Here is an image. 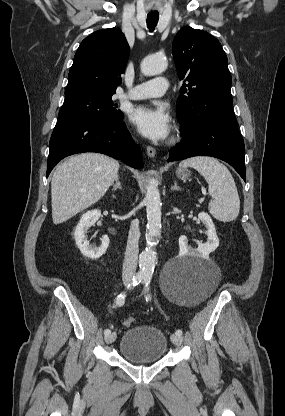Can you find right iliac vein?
<instances>
[{"instance_id":"63e3f726","label":"right iliac vein","mask_w":285,"mask_h":416,"mask_svg":"<svg viewBox=\"0 0 285 416\" xmlns=\"http://www.w3.org/2000/svg\"><path fill=\"white\" fill-rule=\"evenodd\" d=\"M123 282L126 285L129 284L130 283V278L129 277H125L123 279ZM115 339H116V333L115 332H112V333H110L109 335L106 336L105 342L107 344H110V343L114 342Z\"/></svg>"}]
</instances>
